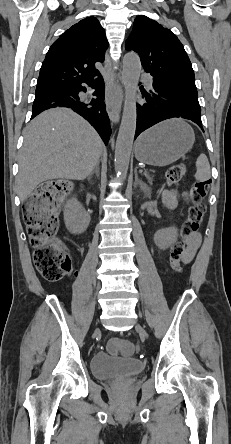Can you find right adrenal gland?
I'll list each match as a JSON object with an SVG mask.
<instances>
[{"label": "right adrenal gland", "mask_w": 231, "mask_h": 444, "mask_svg": "<svg viewBox=\"0 0 231 444\" xmlns=\"http://www.w3.org/2000/svg\"><path fill=\"white\" fill-rule=\"evenodd\" d=\"M96 173V175H99V162L96 164L94 170L91 172V174L89 175V179L92 177V175Z\"/></svg>", "instance_id": "1"}]
</instances>
